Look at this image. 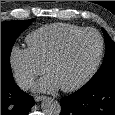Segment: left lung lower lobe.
<instances>
[{
  "label": "left lung lower lobe",
  "mask_w": 115,
  "mask_h": 115,
  "mask_svg": "<svg viewBox=\"0 0 115 115\" xmlns=\"http://www.w3.org/2000/svg\"><path fill=\"white\" fill-rule=\"evenodd\" d=\"M61 107L60 115H115V79L80 88Z\"/></svg>",
  "instance_id": "left-lung-lower-lobe-1"
}]
</instances>
